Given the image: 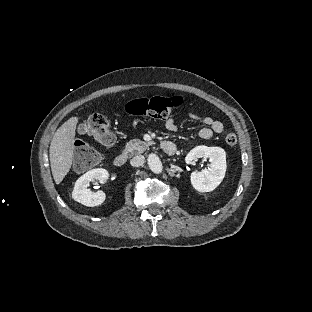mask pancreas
Segmentation results:
<instances>
[{"mask_svg": "<svg viewBox=\"0 0 312 312\" xmlns=\"http://www.w3.org/2000/svg\"><path fill=\"white\" fill-rule=\"evenodd\" d=\"M152 142H144L139 139L130 140L123 151V154L127 155L128 157H132L134 155H138L143 153Z\"/></svg>", "mask_w": 312, "mask_h": 312, "instance_id": "obj_1", "label": "pancreas"}]
</instances>
